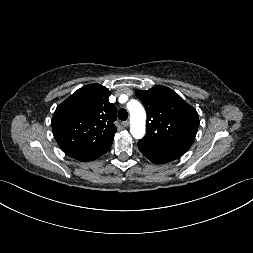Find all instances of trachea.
<instances>
[{
    "instance_id": "3493384b",
    "label": "trachea",
    "mask_w": 253,
    "mask_h": 253,
    "mask_svg": "<svg viewBox=\"0 0 253 253\" xmlns=\"http://www.w3.org/2000/svg\"><path fill=\"white\" fill-rule=\"evenodd\" d=\"M118 118L121 120V121H125L127 120L128 118V112L125 110V109H120L118 111Z\"/></svg>"
}]
</instances>
